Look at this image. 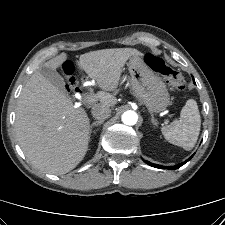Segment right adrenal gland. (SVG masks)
Listing matches in <instances>:
<instances>
[{"label": "right adrenal gland", "instance_id": "right-adrenal-gland-1", "mask_svg": "<svg viewBox=\"0 0 225 225\" xmlns=\"http://www.w3.org/2000/svg\"><path fill=\"white\" fill-rule=\"evenodd\" d=\"M103 122H104L103 120H98V121L93 122L90 125L89 134L91 135L93 127L100 126Z\"/></svg>", "mask_w": 225, "mask_h": 225}]
</instances>
